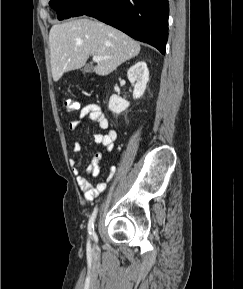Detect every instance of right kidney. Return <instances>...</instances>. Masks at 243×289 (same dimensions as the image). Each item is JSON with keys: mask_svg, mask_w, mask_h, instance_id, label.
<instances>
[{"mask_svg": "<svg viewBox=\"0 0 243 289\" xmlns=\"http://www.w3.org/2000/svg\"><path fill=\"white\" fill-rule=\"evenodd\" d=\"M127 76L131 84L134 86L133 98L138 99L143 96L146 85L149 81V70L144 61L135 63L127 72ZM130 103L118 95L113 94L109 99L108 107L116 114L125 111Z\"/></svg>", "mask_w": 243, "mask_h": 289, "instance_id": "right-kidney-1", "label": "right kidney"}]
</instances>
